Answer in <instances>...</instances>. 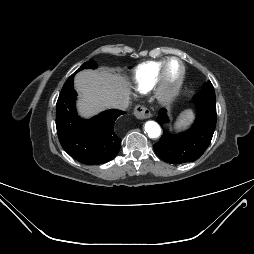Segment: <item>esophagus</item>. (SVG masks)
<instances>
[{
    "label": "esophagus",
    "instance_id": "34e87169",
    "mask_svg": "<svg viewBox=\"0 0 254 254\" xmlns=\"http://www.w3.org/2000/svg\"><path fill=\"white\" fill-rule=\"evenodd\" d=\"M134 115L136 118L144 120L151 116V112L147 107L143 105H137L134 109Z\"/></svg>",
    "mask_w": 254,
    "mask_h": 254
}]
</instances>
